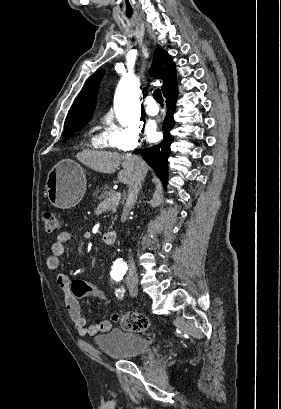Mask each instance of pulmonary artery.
<instances>
[{"label": "pulmonary artery", "instance_id": "pulmonary-artery-1", "mask_svg": "<svg viewBox=\"0 0 281 409\" xmlns=\"http://www.w3.org/2000/svg\"><path fill=\"white\" fill-rule=\"evenodd\" d=\"M144 110L147 111L152 116L157 115L159 113L157 102H145Z\"/></svg>", "mask_w": 281, "mask_h": 409}]
</instances>
